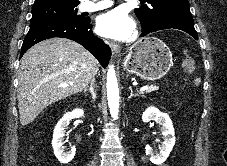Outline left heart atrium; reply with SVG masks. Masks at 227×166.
Wrapping results in <instances>:
<instances>
[{"instance_id": "left-heart-atrium-1", "label": "left heart atrium", "mask_w": 227, "mask_h": 166, "mask_svg": "<svg viewBox=\"0 0 227 166\" xmlns=\"http://www.w3.org/2000/svg\"><path fill=\"white\" fill-rule=\"evenodd\" d=\"M133 21L126 12L115 9L102 14L97 21V32L106 38L124 39L133 31Z\"/></svg>"}]
</instances>
